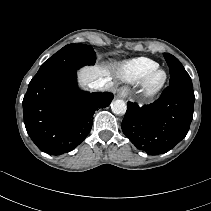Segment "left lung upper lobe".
I'll return each instance as SVG.
<instances>
[{
    "instance_id": "obj_1",
    "label": "left lung upper lobe",
    "mask_w": 211,
    "mask_h": 211,
    "mask_svg": "<svg viewBox=\"0 0 211 211\" xmlns=\"http://www.w3.org/2000/svg\"><path fill=\"white\" fill-rule=\"evenodd\" d=\"M164 57L170 69V85L192 86L189 74L186 72L180 61L171 54L164 53Z\"/></svg>"
}]
</instances>
